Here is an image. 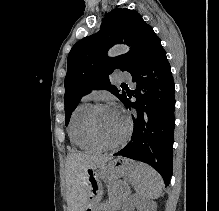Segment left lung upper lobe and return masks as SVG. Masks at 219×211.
Masks as SVG:
<instances>
[{
  "instance_id": "1",
  "label": "left lung upper lobe",
  "mask_w": 219,
  "mask_h": 211,
  "mask_svg": "<svg viewBox=\"0 0 219 211\" xmlns=\"http://www.w3.org/2000/svg\"><path fill=\"white\" fill-rule=\"evenodd\" d=\"M121 43L130 46V51L107 57L108 49ZM162 50L160 39L139 13L124 8L107 14L101 29L78 41L68 55L64 95L66 125L82 96L92 89H106L122 102L126 93L111 85L108 75L116 69L132 75Z\"/></svg>"
}]
</instances>
